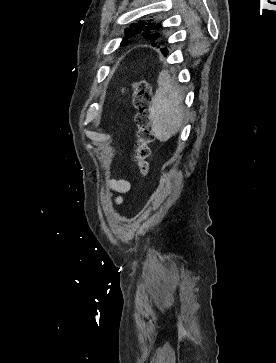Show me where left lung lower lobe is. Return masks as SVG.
Here are the masks:
<instances>
[{"mask_svg":"<svg viewBox=\"0 0 276 363\" xmlns=\"http://www.w3.org/2000/svg\"><path fill=\"white\" fill-rule=\"evenodd\" d=\"M162 53L167 54V49L166 50H162Z\"/></svg>","mask_w":276,"mask_h":363,"instance_id":"1","label":"left lung lower lobe"}]
</instances>
